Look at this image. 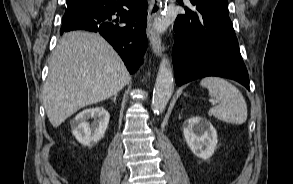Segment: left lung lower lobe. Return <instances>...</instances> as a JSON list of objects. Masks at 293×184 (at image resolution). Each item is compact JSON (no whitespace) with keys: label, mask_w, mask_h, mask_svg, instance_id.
I'll return each mask as SVG.
<instances>
[{"label":"left lung lower lobe","mask_w":293,"mask_h":184,"mask_svg":"<svg viewBox=\"0 0 293 184\" xmlns=\"http://www.w3.org/2000/svg\"><path fill=\"white\" fill-rule=\"evenodd\" d=\"M178 15L172 52L177 85L206 76L233 79L249 90V77L228 8L207 0H190Z\"/></svg>","instance_id":"0a47b994"}]
</instances>
